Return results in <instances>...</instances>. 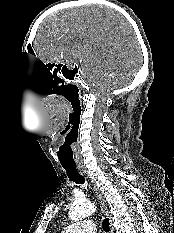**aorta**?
Listing matches in <instances>:
<instances>
[{
    "label": "aorta",
    "instance_id": "762f6f07",
    "mask_svg": "<svg viewBox=\"0 0 174 233\" xmlns=\"http://www.w3.org/2000/svg\"><path fill=\"white\" fill-rule=\"evenodd\" d=\"M95 207L90 202H75L68 213L70 220L77 221L92 215L95 212Z\"/></svg>",
    "mask_w": 174,
    "mask_h": 233
}]
</instances>
